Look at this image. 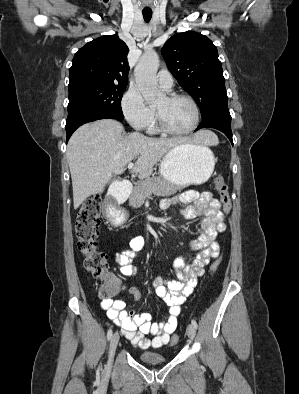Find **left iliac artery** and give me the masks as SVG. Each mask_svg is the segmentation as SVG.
Masks as SVG:
<instances>
[{
  "label": "left iliac artery",
  "mask_w": 299,
  "mask_h": 394,
  "mask_svg": "<svg viewBox=\"0 0 299 394\" xmlns=\"http://www.w3.org/2000/svg\"><path fill=\"white\" fill-rule=\"evenodd\" d=\"M192 325L197 329L198 325H197V322L194 319H192Z\"/></svg>",
  "instance_id": "obj_1"
}]
</instances>
